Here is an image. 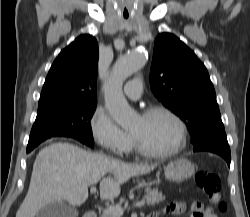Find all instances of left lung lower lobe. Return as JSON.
<instances>
[{"label": "left lung lower lobe", "mask_w": 250, "mask_h": 217, "mask_svg": "<svg viewBox=\"0 0 250 217\" xmlns=\"http://www.w3.org/2000/svg\"><path fill=\"white\" fill-rule=\"evenodd\" d=\"M194 146V151H208L220 155L230 166L231 153L224 128L205 135Z\"/></svg>", "instance_id": "0a47b994"}]
</instances>
